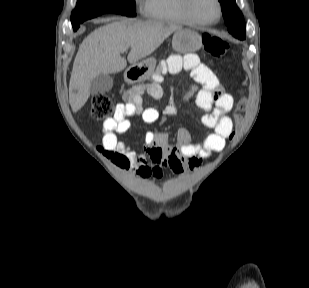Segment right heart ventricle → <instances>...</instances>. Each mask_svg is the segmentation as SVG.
I'll list each match as a JSON object with an SVG mask.
<instances>
[{"label":"right heart ventricle","instance_id":"e07e8e85","mask_svg":"<svg viewBox=\"0 0 309 288\" xmlns=\"http://www.w3.org/2000/svg\"><path fill=\"white\" fill-rule=\"evenodd\" d=\"M182 3V0H145L143 13L155 21L191 24L183 10Z\"/></svg>","mask_w":309,"mask_h":288}]
</instances>
